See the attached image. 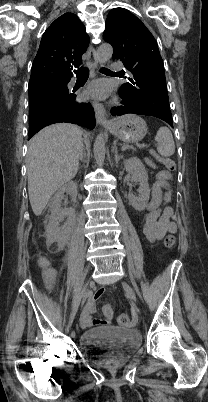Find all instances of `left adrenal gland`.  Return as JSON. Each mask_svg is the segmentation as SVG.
<instances>
[{
	"instance_id": "a2214340",
	"label": "left adrenal gland",
	"mask_w": 208,
	"mask_h": 402,
	"mask_svg": "<svg viewBox=\"0 0 208 402\" xmlns=\"http://www.w3.org/2000/svg\"><path fill=\"white\" fill-rule=\"evenodd\" d=\"M112 152H114L115 162H116V164H118L119 160H121V158H123V156H118L117 146H114Z\"/></svg>"
}]
</instances>
